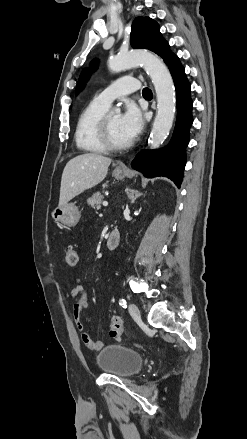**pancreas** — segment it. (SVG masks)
I'll list each match as a JSON object with an SVG mask.
<instances>
[{"label": "pancreas", "instance_id": "obj_1", "mask_svg": "<svg viewBox=\"0 0 247 439\" xmlns=\"http://www.w3.org/2000/svg\"><path fill=\"white\" fill-rule=\"evenodd\" d=\"M103 199H104V196L101 195L99 192H97V193L93 194V196L87 200V204L92 208L100 209L101 203L103 202Z\"/></svg>", "mask_w": 247, "mask_h": 439}]
</instances>
